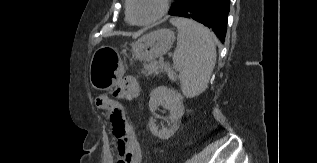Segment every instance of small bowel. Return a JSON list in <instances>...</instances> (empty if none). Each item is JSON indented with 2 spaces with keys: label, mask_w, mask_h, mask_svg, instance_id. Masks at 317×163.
I'll use <instances>...</instances> for the list:
<instances>
[{
  "label": "small bowel",
  "mask_w": 317,
  "mask_h": 163,
  "mask_svg": "<svg viewBox=\"0 0 317 163\" xmlns=\"http://www.w3.org/2000/svg\"><path fill=\"white\" fill-rule=\"evenodd\" d=\"M114 95L119 99L132 101L139 95V85L132 77L123 78L115 85ZM113 136L116 140L117 157L115 158L111 148H107L104 152V163H141V148L131 126L126 125L121 133L113 130Z\"/></svg>",
  "instance_id": "c3829d8e"
}]
</instances>
